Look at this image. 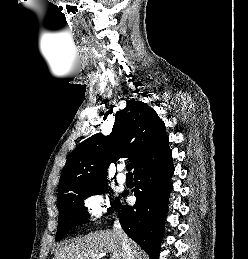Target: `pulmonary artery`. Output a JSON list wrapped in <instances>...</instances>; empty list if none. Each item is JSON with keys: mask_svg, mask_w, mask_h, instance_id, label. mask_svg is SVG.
Here are the masks:
<instances>
[{"mask_svg": "<svg viewBox=\"0 0 248 259\" xmlns=\"http://www.w3.org/2000/svg\"><path fill=\"white\" fill-rule=\"evenodd\" d=\"M122 167L120 168V171H122ZM116 179H117V182L118 183H120V184H124L125 182H126V176L122 173V172H120L118 175H117V177H116Z\"/></svg>", "mask_w": 248, "mask_h": 259, "instance_id": "1", "label": "pulmonary artery"}]
</instances>
